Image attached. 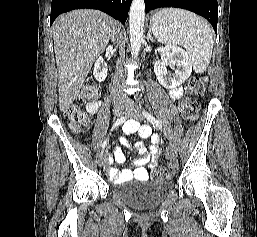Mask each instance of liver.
<instances>
[{
	"label": "liver",
	"mask_w": 257,
	"mask_h": 237,
	"mask_svg": "<svg viewBox=\"0 0 257 237\" xmlns=\"http://www.w3.org/2000/svg\"><path fill=\"white\" fill-rule=\"evenodd\" d=\"M114 32L113 19L97 10H75L55 20L53 40L62 112L77 98L93 62Z\"/></svg>",
	"instance_id": "obj_1"
}]
</instances>
